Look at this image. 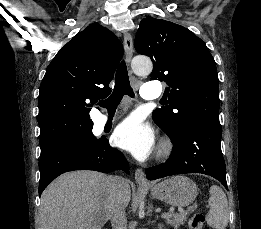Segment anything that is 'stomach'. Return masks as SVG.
Wrapping results in <instances>:
<instances>
[{
	"instance_id": "obj_1",
	"label": "stomach",
	"mask_w": 261,
	"mask_h": 229,
	"mask_svg": "<svg viewBox=\"0 0 261 229\" xmlns=\"http://www.w3.org/2000/svg\"><path fill=\"white\" fill-rule=\"evenodd\" d=\"M153 199L173 205V207H187L197 197V187L188 177H171L158 185H153L151 193Z\"/></svg>"
}]
</instances>
